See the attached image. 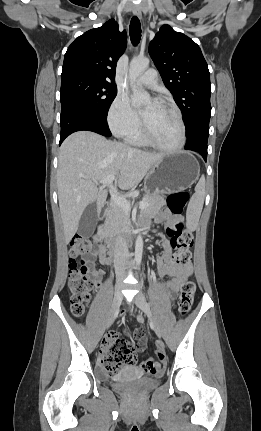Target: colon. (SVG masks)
Segmentation results:
<instances>
[{
    "label": "colon",
    "instance_id": "colon-1",
    "mask_svg": "<svg viewBox=\"0 0 261 431\" xmlns=\"http://www.w3.org/2000/svg\"><path fill=\"white\" fill-rule=\"evenodd\" d=\"M189 194L185 191L175 192L169 195L168 205L174 214H180L185 208ZM171 246L174 252L172 260L178 265H187L191 260L190 247L193 245V235L190 231L183 229L180 223L167 229ZM91 243L88 239L75 236L69 244L70 271L69 291L72 313L81 317L90 299V292L94 287V281L89 277L90 263L85 258L90 253ZM196 285L192 281L185 282L177 299L178 311L185 316L191 309ZM164 344L159 343L154 356L148 360H141L139 371L149 373L148 380L159 379L162 376L163 366L168 364L167 352ZM102 365L108 374H116L120 368L131 363L134 350L129 340L121 338L116 333L107 336L105 344L101 349Z\"/></svg>",
    "mask_w": 261,
    "mask_h": 431
}]
</instances>
